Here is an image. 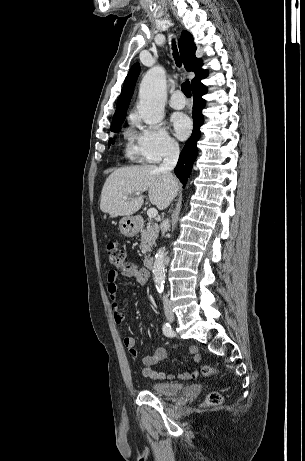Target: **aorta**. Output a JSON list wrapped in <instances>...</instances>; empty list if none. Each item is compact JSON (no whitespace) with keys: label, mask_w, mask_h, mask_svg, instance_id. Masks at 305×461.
Wrapping results in <instances>:
<instances>
[{"label":"aorta","mask_w":305,"mask_h":461,"mask_svg":"<svg viewBox=\"0 0 305 461\" xmlns=\"http://www.w3.org/2000/svg\"><path fill=\"white\" fill-rule=\"evenodd\" d=\"M140 102L138 112L143 121L148 125L160 123L164 116L166 99V77L162 67L151 68L143 77L139 90ZM165 248H160L154 260L153 280L156 290L161 293L165 284Z\"/></svg>","instance_id":"obj_1"}]
</instances>
